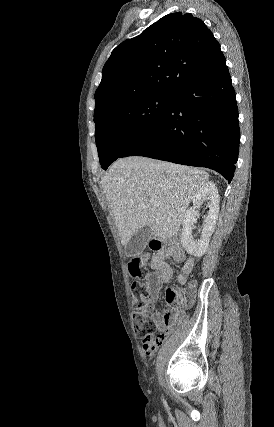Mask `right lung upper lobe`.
I'll return each mask as SVG.
<instances>
[{"instance_id":"right-lung-upper-lobe-1","label":"right lung upper lobe","mask_w":274,"mask_h":427,"mask_svg":"<svg viewBox=\"0 0 274 427\" xmlns=\"http://www.w3.org/2000/svg\"><path fill=\"white\" fill-rule=\"evenodd\" d=\"M226 66L219 43L190 13H171L118 45L102 70L94 117L145 94H174Z\"/></svg>"}]
</instances>
